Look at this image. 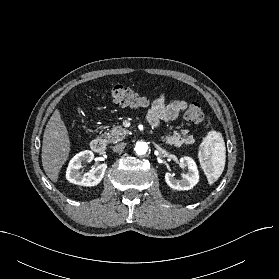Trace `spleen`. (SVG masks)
I'll use <instances>...</instances> for the list:
<instances>
[{
  "instance_id": "obj_1",
  "label": "spleen",
  "mask_w": 279,
  "mask_h": 279,
  "mask_svg": "<svg viewBox=\"0 0 279 279\" xmlns=\"http://www.w3.org/2000/svg\"><path fill=\"white\" fill-rule=\"evenodd\" d=\"M199 159L208 183L212 185L219 179L225 167L226 148L220 132H208L201 144Z\"/></svg>"
}]
</instances>
